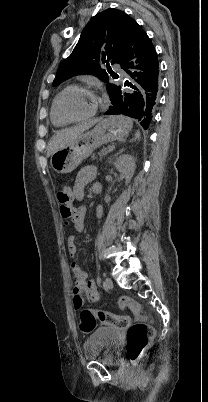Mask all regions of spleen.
Here are the masks:
<instances>
[{"label": "spleen", "mask_w": 208, "mask_h": 402, "mask_svg": "<svg viewBox=\"0 0 208 402\" xmlns=\"http://www.w3.org/2000/svg\"><path fill=\"white\" fill-rule=\"evenodd\" d=\"M135 140H140V132H139V130H137V132L135 134Z\"/></svg>", "instance_id": "spleen-1"}]
</instances>
